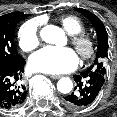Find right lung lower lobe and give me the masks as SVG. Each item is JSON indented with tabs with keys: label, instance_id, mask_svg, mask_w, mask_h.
<instances>
[{
	"label": "right lung lower lobe",
	"instance_id": "obj_1",
	"mask_svg": "<svg viewBox=\"0 0 117 117\" xmlns=\"http://www.w3.org/2000/svg\"><path fill=\"white\" fill-rule=\"evenodd\" d=\"M24 65V58L15 62H0V109H15L24 102L26 91L20 84Z\"/></svg>",
	"mask_w": 117,
	"mask_h": 117
}]
</instances>
